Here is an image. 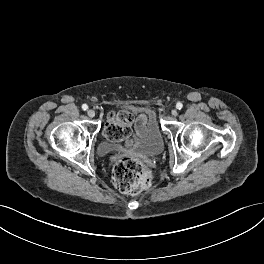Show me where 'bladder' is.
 Wrapping results in <instances>:
<instances>
[{
  "label": "bladder",
  "mask_w": 264,
  "mask_h": 264,
  "mask_svg": "<svg viewBox=\"0 0 264 264\" xmlns=\"http://www.w3.org/2000/svg\"><path fill=\"white\" fill-rule=\"evenodd\" d=\"M144 113L147 118L145 132L131 139L130 149L142 156L153 157L163 151L164 141L154 113L150 110H145ZM118 148V144L108 140L103 141L99 146L103 155L112 153Z\"/></svg>",
  "instance_id": "bladder-1"
}]
</instances>
